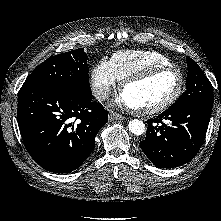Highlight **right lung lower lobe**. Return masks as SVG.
Listing matches in <instances>:
<instances>
[{"instance_id":"obj_1","label":"right lung lower lobe","mask_w":221,"mask_h":221,"mask_svg":"<svg viewBox=\"0 0 221 221\" xmlns=\"http://www.w3.org/2000/svg\"><path fill=\"white\" fill-rule=\"evenodd\" d=\"M17 117L32 159L47 171L65 173L89 156L108 112L71 88L37 85L19 90Z\"/></svg>"}]
</instances>
